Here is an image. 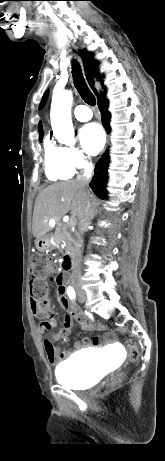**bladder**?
I'll use <instances>...</instances> for the list:
<instances>
[{"mask_svg":"<svg viewBox=\"0 0 165 461\" xmlns=\"http://www.w3.org/2000/svg\"><path fill=\"white\" fill-rule=\"evenodd\" d=\"M89 352H80L58 364L56 380L74 389L92 386L105 370L106 360L98 361Z\"/></svg>","mask_w":165,"mask_h":461,"instance_id":"1","label":"bladder"}]
</instances>
